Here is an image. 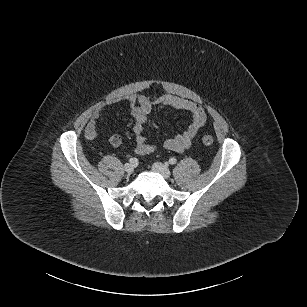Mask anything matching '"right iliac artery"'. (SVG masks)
Wrapping results in <instances>:
<instances>
[{"instance_id": "1", "label": "right iliac artery", "mask_w": 307, "mask_h": 307, "mask_svg": "<svg viewBox=\"0 0 307 307\" xmlns=\"http://www.w3.org/2000/svg\"><path fill=\"white\" fill-rule=\"evenodd\" d=\"M129 162L133 165H137L138 164V159L137 158H130Z\"/></svg>"}]
</instances>
